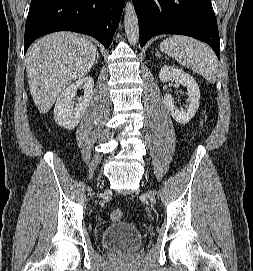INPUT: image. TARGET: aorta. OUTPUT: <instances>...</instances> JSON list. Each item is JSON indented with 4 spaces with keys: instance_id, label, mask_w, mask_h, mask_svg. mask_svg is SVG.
I'll return each instance as SVG.
<instances>
[{
    "instance_id": "762f6f07",
    "label": "aorta",
    "mask_w": 253,
    "mask_h": 271,
    "mask_svg": "<svg viewBox=\"0 0 253 271\" xmlns=\"http://www.w3.org/2000/svg\"><path fill=\"white\" fill-rule=\"evenodd\" d=\"M124 27L128 42L135 45L139 40V25L132 1L127 2L124 8Z\"/></svg>"
}]
</instances>
